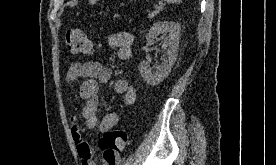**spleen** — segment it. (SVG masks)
<instances>
[{
	"instance_id": "1",
	"label": "spleen",
	"mask_w": 276,
	"mask_h": 165,
	"mask_svg": "<svg viewBox=\"0 0 276 165\" xmlns=\"http://www.w3.org/2000/svg\"><path fill=\"white\" fill-rule=\"evenodd\" d=\"M167 3H174V2H177L179 0H165Z\"/></svg>"
}]
</instances>
